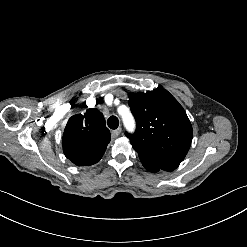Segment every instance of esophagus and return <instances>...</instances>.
I'll return each instance as SVG.
<instances>
[{
    "mask_svg": "<svg viewBox=\"0 0 247 247\" xmlns=\"http://www.w3.org/2000/svg\"><path fill=\"white\" fill-rule=\"evenodd\" d=\"M122 129L119 127L117 128L116 130H113L111 135H112V138H117L119 136V134L121 133Z\"/></svg>",
    "mask_w": 247,
    "mask_h": 247,
    "instance_id": "1",
    "label": "esophagus"
}]
</instances>
